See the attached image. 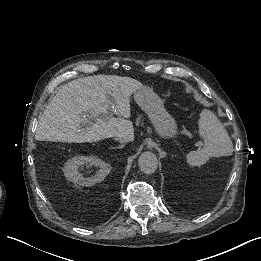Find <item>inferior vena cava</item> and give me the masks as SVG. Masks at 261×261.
<instances>
[{
  "instance_id": "obj_1",
  "label": "inferior vena cava",
  "mask_w": 261,
  "mask_h": 261,
  "mask_svg": "<svg viewBox=\"0 0 261 261\" xmlns=\"http://www.w3.org/2000/svg\"><path fill=\"white\" fill-rule=\"evenodd\" d=\"M116 140H118L120 143L128 142V138L125 137V136H122V137L116 138Z\"/></svg>"
}]
</instances>
